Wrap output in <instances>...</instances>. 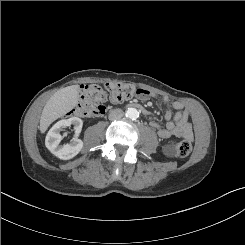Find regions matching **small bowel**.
I'll use <instances>...</instances> for the list:
<instances>
[{"instance_id":"1","label":"small bowel","mask_w":245,"mask_h":245,"mask_svg":"<svg viewBox=\"0 0 245 245\" xmlns=\"http://www.w3.org/2000/svg\"><path fill=\"white\" fill-rule=\"evenodd\" d=\"M146 91V90H145ZM154 95L146 91V94L138 95V98L142 100H148ZM163 102L168 104V97L162 98ZM173 110L176 112L173 113ZM165 118L167 124L165 126L160 125L157 122H151V127L157 131L160 138L166 139L171 136H176L180 139L190 140L193 137V130L191 123L189 122V114L185 110L184 105L180 102H173L167 106L165 111Z\"/></svg>"}]
</instances>
